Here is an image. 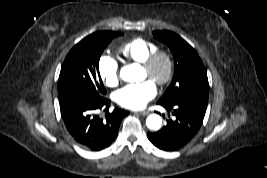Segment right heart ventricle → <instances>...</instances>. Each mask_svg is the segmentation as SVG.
I'll return each mask as SVG.
<instances>
[{
    "label": "right heart ventricle",
    "mask_w": 267,
    "mask_h": 178,
    "mask_svg": "<svg viewBox=\"0 0 267 178\" xmlns=\"http://www.w3.org/2000/svg\"><path fill=\"white\" fill-rule=\"evenodd\" d=\"M157 49V45L143 37H136L126 42L120 49L121 54L127 59L142 63L150 53Z\"/></svg>",
    "instance_id": "1"
}]
</instances>
